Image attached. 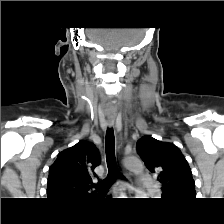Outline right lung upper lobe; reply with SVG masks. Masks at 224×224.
Returning a JSON list of instances; mask_svg holds the SVG:
<instances>
[{
    "mask_svg": "<svg viewBox=\"0 0 224 224\" xmlns=\"http://www.w3.org/2000/svg\"><path fill=\"white\" fill-rule=\"evenodd\" d=\"M100 165L99 151L91 142L81 140L60 152L49 169L47 195L51 200L69 203L95 195L92 188L94 169Z\"/></svg>",
    "mask_w": 224,
    "mask_h": 224,
    "instance_id": "obj_1",
    "label": "right lung upper lobe"
}]
</instances>
